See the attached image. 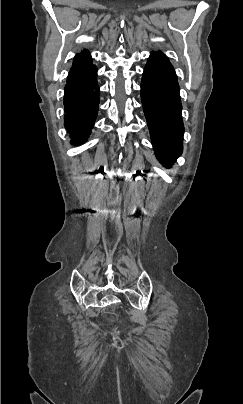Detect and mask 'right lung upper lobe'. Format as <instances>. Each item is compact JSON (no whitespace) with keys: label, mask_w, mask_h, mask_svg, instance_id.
<instances>
[{"label":"right lung upper lobe","mask_w":243,"mask_h":404,"mask_svg":"<svg viewBox=\"0 0 243 404\" xmlns=\"http://www.w3.org/2000/svg\"><path fill=\"white\" fill-rule=\"evenodd\" d=\"M73 62V66L69 72L70 74L78 73L92 66V59L87 51L77 54Z\"/></svg>","instance_id":"obj_1"}]
</instances>
